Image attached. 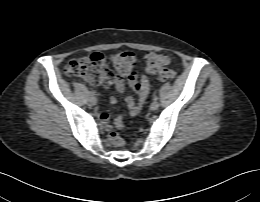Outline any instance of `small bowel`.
Returning a JSON list of instances; mask_svg holds the SVG:
<instances>
[{"label": "small bowel", "mask_w": 260, "mask_h": 202, "mask_svg": "<svg viewBox=\"0 0 260 202\" xmlns=\"http://www.w3.org/2000/svg\"><path fill=\"white\" fill-rule=\"evenodd\" d=\"M128 82L130 87L134 91V96H129L125 98V101L129 107V114L131 116H136L142 106L144 105L149 91H150V83L145 75L138 76L135 72H131L128 77ZM116 89L119 93L123 94L125 90V83L122 77H116L115 81ZM110 102L112 104L117 103V98L112 96L110 98ZM111 115L109 113H101L99 115L100 121L104 124L106 130L111 131L114 127L121 128L124 124L123 118L120 115H116L114 117L113 123L110 122Z\"/></svg>", "instance_id": "small-bowel-1"}]
</instances>
